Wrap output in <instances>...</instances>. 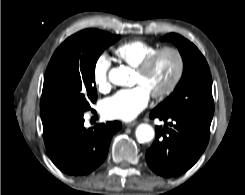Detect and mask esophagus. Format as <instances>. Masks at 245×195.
Listing matches in <instances>:
<instances>
[{
  "label": "esophagus",
  "mask_w": 245,
  "mask_h": 195,
  "mask_svg": "<svg viewBox=\"0 0 245 195\" xmlns=\"http://www.w3.org/2000/svg\"><path fill=\"white\" fill-rule=\"evenodd\" d=\"M136 124H137V122L136 121H133V122L125 123V126H127V127H133Z\"/></svg>",
  "instance_id": "obj_1"
}]
</instances>
